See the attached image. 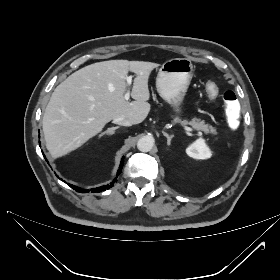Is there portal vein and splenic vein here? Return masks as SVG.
Masks as SVG:
<instances>
[{
  "label": "portal vein and splenic vein",
  "mask_w": 280,
  "mask_h": 280,
  "mask_svg": "<svg viewBox=\"0 0 280 280\" xmlns=\"http://www.w3.org/2000/svg\"><path fill=\"white\" fill-rule=\"evenodd\" d=\"M127 83L130 84L131 83V78L130 77H127ZM130 97V91H127L126 94L124 95V99L125 100H128ZM183 128L186 130V131H189V132H192L193 129L191 127H188V126H183Z\"/></svg>",
  "instance_id": "18ae733b"
}]
</instances>
